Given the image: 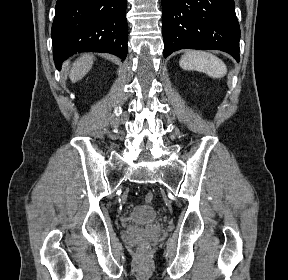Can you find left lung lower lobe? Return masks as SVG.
<instances>
[{"label":"left lung lower lobe","instance_id":"obj_1","mask_svg":"<svg viewBox=\"0 0 288 280\" xmlns=\"http://www.w3.org/2000/svg\"><path fill=\"white\" fill-rule=\"evenodd\" d=\"M164 57L180 49H215L239 61L234 0H162Z\"/></svg>","mask_w":288,"mask_h":280}]
</instances>
